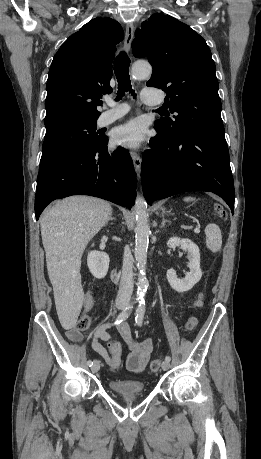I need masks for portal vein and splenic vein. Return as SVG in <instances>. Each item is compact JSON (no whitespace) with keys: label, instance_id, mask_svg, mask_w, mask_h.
Wrapping results in <instances>:
<instances>
[{"label":"portal vein and splenic vein","instance_id":"portal-vein-and-splenic-vein-1","mask_svg":"<svg viewBox=\"0 0 261 459\" xmlns=\"http://www.w3.org/2000/svg\"><path fill=\"white\" fill-rule=\"evenodd\" d=\"M194 232L195 233H200V229L199 228H194Z\"/></svg>","mask_w":261,"mask_h":459}]
</instances>
